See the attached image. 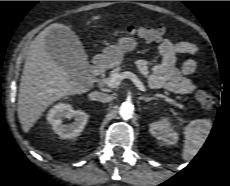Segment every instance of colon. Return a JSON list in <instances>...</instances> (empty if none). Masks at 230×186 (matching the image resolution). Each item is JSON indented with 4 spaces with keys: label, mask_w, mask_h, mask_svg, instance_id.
Masks as SVG:
<instances>
[{
    "label": "colon",
    "mask_w": 230,
    "mask_h": 186,
    "mask_svg": "<svg viewBox=\"0 0 230 186\" xmlns=\"http://www.w3.org/2000/svg\"><path fill=\"white\" fill-rule=\"evenodd\" d=\"M120 35H137L146 42H159L165 35V29L161 26H145V27H118L112 31V36ZM196 99L204 108H210L215 102L214 96L205 90L196 93Z\"/></svg>",
    "instance_id": "colon-1"
}]
</instances>
